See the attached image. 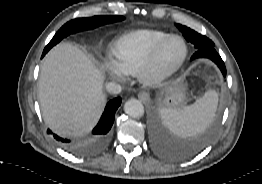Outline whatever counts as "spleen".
<instances>
[{"label":"spleen","instance_id":"1","mask_svg":"<svg viewBox=\"0 0 262 184\" xmlns=\"http://www.w3.org/2000/svg\"><path fill=\"white\" fill-rule=\"evenodd\" d=\"M218 103V94L208 90L204 96L182 108H162L161 116L168 128L179 136H193L212 122Z\"/></svg>","mask_w":262,"mask_h":184}]
</instances>
